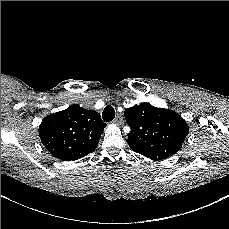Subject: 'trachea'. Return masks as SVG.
Listing matches in <instances>:
<instances>
[{
    "instance_id": "1",
    "label": "trachea",
    "mask_w": 229,
    "mask_h": 229,
    "mask_svg": "<svg viewBox=\"0 0 229 229\" xmlns=\"http://www.w3.org/2000/svg\"><path fill=\"white\" fill-rule=\"evenodd\" d=\"M102 118L105 122H110L115 118V110L112 105H107L104 108Z\"/></svg>"
}]
</instances>
